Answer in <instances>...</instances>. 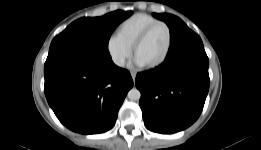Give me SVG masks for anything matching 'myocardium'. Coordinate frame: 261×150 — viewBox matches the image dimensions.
I'll list each match as a JSON object with an SVG mask.
<instances>
[{"label":"myocardium","instance_id":"f54148a6","mask_svg":"<svg viewBox=\"0 0 261 150\" xmlns=\"http://www.w3.org/2000/svg\"><path fill=\"white\" fill-rule=\"evenodd\" d=\"M157 26H163L166 28L167 33H168V45H167L165 54L163 55V57L160 60H158L157 62H155L151 65L146 66L149 69H155V68L162 66L170 56L172 44H173V34H172V30H171L170 26L164 21H156V22L150 24L137 37V39L135 40L133 47H132L133 53H134V55H136V52H137V49L139 48V46L147 39V37L150 35V33Z\"/></svg>","mask_w":261,"mask_h":150}]
</instances>
